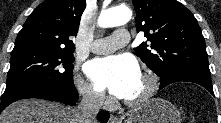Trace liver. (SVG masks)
<instances>
[{
	"label": "liver",
	"instance_id": "6515ba94",
	"mask_svg": "<svg viewBox=\"0 0 221 123\" xmlns=\"http://www.w3.org/2000/svg\"><path fill=\"white\" fill-rule=\"evenodd\" d=\"M0 123H78L76 109L45 100L25 99L8 106Z\"/></svg>",
	"mask_w": 221,
	"mask_h": 123
}]
</instances>
